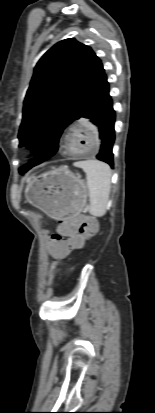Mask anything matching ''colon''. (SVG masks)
<instances>
[{
  "instance_id": "colon-1",
  "label": "colon",
  "mask_w": 155,
  "mask_h": 413,
  "mask_svg": "<svg viewBox=\"0 0 155 413\" xmlns=\"http://www.w3.org/2000/svg\"><path fill=\"white\" fill-rule=\"evenodd\" d=\"M61 224L73 234L79 236H69L68 239L60 234H54L50 237L48 245L51 253L56 258H70L72 252L77 250L79 244H89L90 236L97 230V222L93 218L79 219L69 218L61 221Z\"/></svg>"
}]
</instances>
